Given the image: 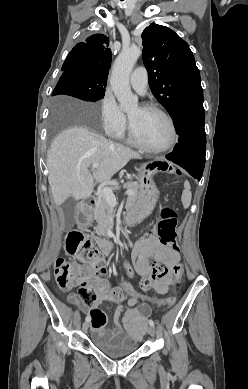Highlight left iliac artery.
Instances as JSON below:
<instances>
[{
  "mask_svg": "<svg viewBox=\"0 0 248 389\" xmlns=\"http://www.w3.org/2000/svg\"><path fill=\"white\" fill-rule=\"evenodd\" d=\"M149 324H150V326H153V327L155 326V323L152 319L149 320Z\"/></svg>",
  "mask_w": 248,
  "mask_h": 389,
  "instance_id": "left-iliac-artery-1",
  "label": "left iliac artery"
}]
</instances>
